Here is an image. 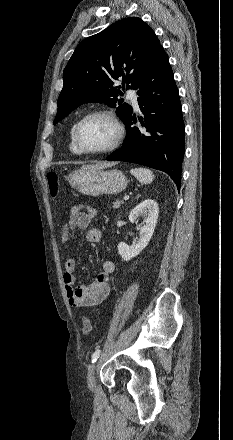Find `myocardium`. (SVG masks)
I'll list each match as a JSON object with an SVG mask.
<instances>
[{"mask_svg": "<svg viewBox=\"0 0 233 440\" xmlns=\"http://www.w3.org/2000/svg\"><path fill=\"white\" fill-rule=\"evenodd\" d=\"M93 117H104L108 119L115 128V137L112 143L106 148L99 150H88L83 148L79 143V131L85 121ZM124 127L116 114L108 109H96L83 115L75 124L73 129V143L80 154L85 155H104L115 151L121 144L124 137Z\"/></svg>", "mask_w": 233, "mask_h": 440, "instance_id": "myocardium-1", "label": "myocardium"}]
</instances>
